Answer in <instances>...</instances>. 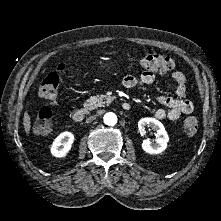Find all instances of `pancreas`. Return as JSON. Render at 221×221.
Here are the masks:
<instances>
[{"mask_svg": "<svg viewBox=\"0 0 221 221\" xmlns=\"http://www.w3.org/2000/svg\"><path fill=\"white\" fill-rule=\"evenodd\" d=\"M112 100H113V97H110L107 95L92 96L86 100V102L84 103V108L88 111H91L98 107H102L105 104L111 103Z\"/></svg>", "mask_w": 221, "mask_h": 221, "instance_id": "obj_1", "label": "pancreas"}]
</instances>
